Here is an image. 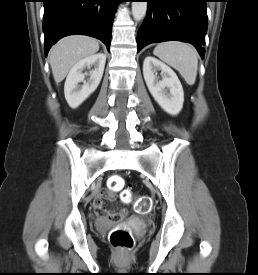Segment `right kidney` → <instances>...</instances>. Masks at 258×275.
<instances>
[{
	"mask_svg": "<svg viewBox=\"0 0 258 275\" xmlns=\"http://www.w3.org/2000/svg\"><path fill=\"white\" fill-rule=\"evenodd\" d=\"M105 62L106 56L98 53L80 60L71 68L64 85L65 98L71 108H77L97 89L103 76ZM92 65L94 70L90 72V78L86 82L82 71ZM80 82H83V85L80 86Z\"/></svg>",
	"mask_w": 258,
	"mask_h": 275,
	"instance_id": "ca27d5eb",
	"label": "right kidney"
}]
</instances>
